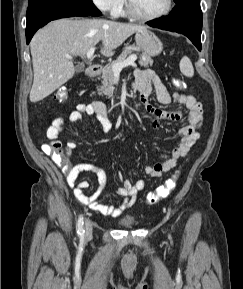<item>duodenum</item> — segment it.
Listing matches in <instances>:
<instances>
[{"label": "duodenum", "mask_w": 243, "mask_h": 289, "mask_svg": "<svg viewBox=\"0 0 243 289\" xmlns=\"http://www.w3.org/2000/svg\"><path fill=\"white\" fill-rule=\"evenodd\" d=\"M100 72V67L97 65H93L87 68L86 75L88 78L96 77Z\"/></svg>", "instance_id": "duodenum-1"}]
</instances>
